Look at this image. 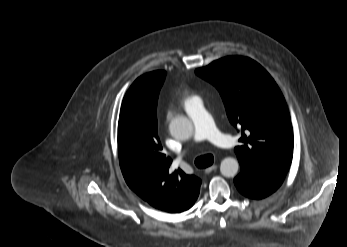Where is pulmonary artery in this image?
Instances as JSON below:
<instances>
[{"instance_id": "obj_1", "label": "pulmonary artery", "mask_w": 347, "mask_h": 247, "mask_svg": "<svg viewBox=\"0 0 347 247\" xmlns=\"http://www.w3.org/2000/svg\"><path fill=\"white\" fill-rule=\"evenodd\" d=\"M185 110L193 121L195 132L194 141L210 140L221 147L233 145L232 138L221 133L199 97H192L185 103Z\"/></svg>"}]
</instances>
